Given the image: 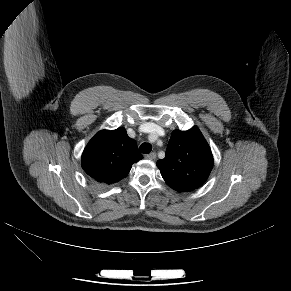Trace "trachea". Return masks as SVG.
<instances>
[{
  "label": "trachea",
  "instance_id": "trachea-1",
  "mask_svg": "<svg viewBox=\"0 0 291 291\" xmlns=\"http://www.w3.org/2000/svg\"><path fill=\"white\" fill-rule=\"evenodd\" d=\"M139 150L143 154H149L152 150V146L149 143H142L139 147Z\"/></svg>",
  "mask_w": 291,
  "mask_h": 291
}]
</instances>
